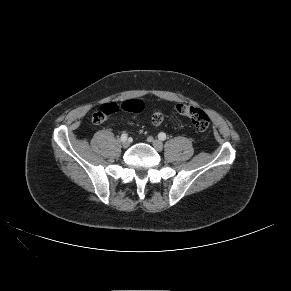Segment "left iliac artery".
<instances>
[{
  "instance_id": "obj_1",
  "label": "left iliac artery",
  "mask_w": 291,
  "mask_h": 291,
  "mask_svg": "<svg viewBox=\"0 0 291 291\" xmlns=\"http://www.w3.org/2000/svg\"><path fill=\"white\" fill-rule=\"evenodd\" d=\"M158 138H159L160 140L164 141V140L166 139V134L163 133V132H160V133L158 134Z\"/></svg>"
}]
</instances>
